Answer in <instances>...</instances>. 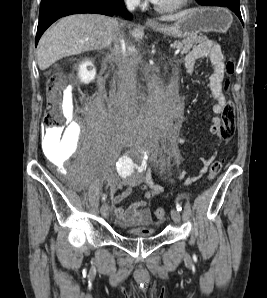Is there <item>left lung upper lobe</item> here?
<instances>
[{"label": "left lung upper lobe", "instance_id": "obj_1", "mask_svg": "<svg viewBox=\"0 0 267 298\" xmlns=\"http://www.w3.org/2000/svg\"><path fill=\"white\" fill-rule=\"evenodd\" d=\"M206 1L208 0H196L197 3H199L200 5H203ZM234 1H239V0H234Z\"/></svg>", "mask_w": 267, "mask_h": 298}]
</instances>
